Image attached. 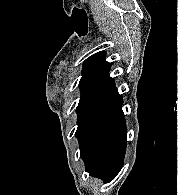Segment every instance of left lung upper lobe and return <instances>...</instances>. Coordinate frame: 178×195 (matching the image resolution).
<instances>
[{
    "mask_svg": "<svg viewBox=\"0 0 178 195\" xmlns=\"http://www.w3.org/2000/svg\"><path fill=\"white\" fill-rule=\"evenodd\" d=\"M105 58L106 52L101 51L83 63L79 82L81 96L76 108L78 124L76 133L119 96L114 79L109 75L111 65Z\"/></svg>",
    "mask_w": 178,
    "mask_h": 195,
    "instance_id": "left-lung-upper-lobe-1",
    "label": "left lung upper lobe"
}]
</instances>
